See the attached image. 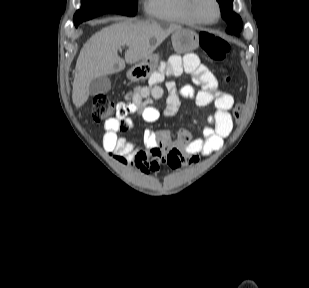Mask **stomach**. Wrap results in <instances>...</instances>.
I'll return each instance as SVG.
<instances>
[{
	"label": "stomach",
	"instance_id": "0dacf381",
	"mask_svg": "<svg viewBox=\"0 0 309 288\" xmlns=\"http://www.w3.org/2000/svg\"><path fill=\"white\" fill-rule=\"evenodd\" d=\"M172 46L177 53L192 52L199 46L198 34L189 28L175 30L171 37ZM159 55L152 54L135 64L127 72V78L132 82L146 80L157 68Z\"/></svg>",
	"mask_w": 309,
	"mask_h": 288
}]
</instances>
